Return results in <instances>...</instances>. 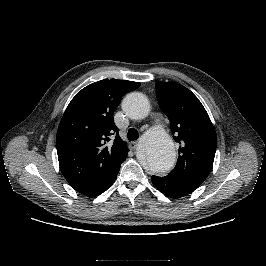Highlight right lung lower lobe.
<instances>
[{
	"label": "right lung lower lobe",
	"instance_id": "1",
	"mask_svg": "<svg viewBox=\"0 0 266 266\" xmlns=\"http://www.w3.org/2000/svg\"><path fill=\"white\" fill-rule=\"evenodd\" d=\"M119 169L113 175H111L109 178H107L105 181H103L99 185L86 189V190H80L78 192L88 197H95V196L100 195L113 184V182L115 181L118 175Z\"/></svg>",
	"mask_w": 266,
	"mask_h": 266
}]
</instances>
